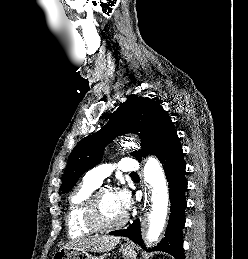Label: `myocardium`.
Listing matches in <instances>:
<instances>
[{"mask_svg":"<svg viewBox=\"0 0 248 259\" xmlns=\"http://www.w3.org/2000/svg\"><path fill=\"white\" fill-rule=\"evenodd\" d=\"M106 191H112L113 189L111 187H101L97 188L88 198L85 210H84V219L86 224L92 228L95 231H103V230H111L120 228L128 220V215L125 213V215L116 222H105L102 220L99 212V200L102 193Z\"/></svg>","mask_w":248,"mask_h":259,"instance_id":"obj_1","label":"myocardium"}]
</instances>
